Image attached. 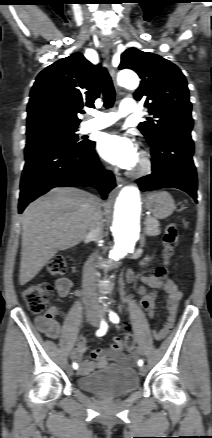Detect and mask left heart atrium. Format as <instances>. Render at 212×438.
<instances>
[{
	"instance_id": "39dd6f15",
	"label": "left heart atrium",
	"mask_w": 212,
	"mask_h": 438,
	"mask_svg": "<svg viewBox=\"0 0 212 438\" xmlns=\"http://www.w3.org/2000/svg\"><path fill=\"white\" fill-rule=\"evenodd\" d=\"M97 150L104 159L121 168L134 165L138 157L135 144L117 133L102 134L97 142Z\"/></svg>"
}]
</instances>
